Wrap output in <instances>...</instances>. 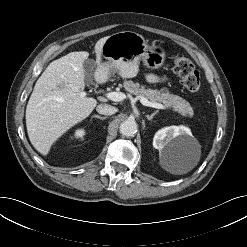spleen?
Returning <instances> with one entry per match:
<instances>
[{
  "label": "spleen",
  "mask_w": 247,
  "mask_h": 247,
  "mask_svg": "<svg viewBox=\"0 0 247 247\" xmlns=\"http://www.w3.org/2000/svg\"><path fill=\"white\" fill-rule=\"evenodd\" d=\"M188 170H181V171H179V172H177L178 174H183V173H185V172H187Z\"/></svg>",
  "instance_id": "obj_1"
}]
</instances>
